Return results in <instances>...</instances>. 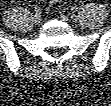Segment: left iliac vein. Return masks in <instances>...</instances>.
<instances>
[{"mask_svg": "<svg viewBox=\"0 0 111 106\" xmlns=\"http://www.w3.org/2000/svg\"><path fill=\"white\" fill-rule=\"evenodd\" d=\"M71 18H72L73 20H77V16H76L75 14H71Z\"/></svg>", "mask_w": 111, "mask_h": 106, "instance_id": "obj_1", "label": "left iliac vein"}]
</instances>
